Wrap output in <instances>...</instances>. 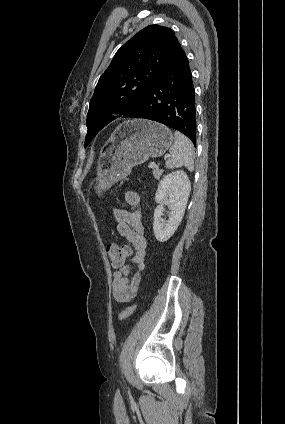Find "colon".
Here are the masks:
<instances>
[{"mask_svg": "<svg viewBox=\"0 0 285 424\" xmlns=\"http://www.w3.org/2000/svg\"><path fill=\"white\" fill-rule=\"evenodd\" d=\"M107 254L114 266H120L129 254V247L126 245L112 243L107 246ZM134 310V305L127 307L120 313L119 319L121 321L126 320L133 314Z\"/></svg>", "mask_w": 285, "mask_h": 424, "instance_id": "5ec220e1", "label": "colon"}]
</instances>
